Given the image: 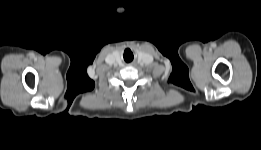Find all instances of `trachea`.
Here are the masks:
<instances>
[{
	"mask_svg": "<svg viewBox=\"0 0 261 150\" xmlns=\"http://www.w3.org/2000/svg\"><path fill=\"white\" fill-rule=\"evenodd\" d=\"M124 59H125L126 62H130V61L133 60V54L129 49L125 50Z\"/></svg>",
	"mask_w": 261,
	"mask_h": 150,
	"instance_id": "obj_1",
	"label": "trachea"
}]
</instances>
